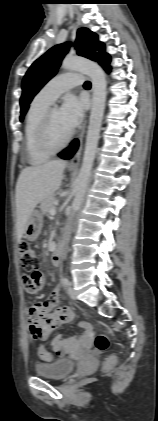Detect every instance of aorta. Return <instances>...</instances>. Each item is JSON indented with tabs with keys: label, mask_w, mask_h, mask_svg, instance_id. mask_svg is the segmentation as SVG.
<instances>
[{
	"label": "aorta",
	"mask_w": 158,
	"mask_h": 421,
	"mask_svg": "<svg viewBox=\"0 0 158 421\" xmlns=\"http://www.w3.org/2000/svg\"><path fill=\"white\" fill-rule=\"evenodd\" d=\"M61 67L66 70H76L86 74L91 79L93 91L85 151L76 181L75 196L71 207V219L82 205L91 175L105 109L106 79L103 70L98 64L81 57H67L63 60ZM64 236L65 243L67 244L70 236V225L67 226Z\"/></svg>",
	"instance_id": "obj_1"
}]
</instances>
